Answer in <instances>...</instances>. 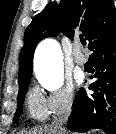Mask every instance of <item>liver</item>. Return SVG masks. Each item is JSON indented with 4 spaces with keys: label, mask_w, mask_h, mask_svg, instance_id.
Masks as SVG:
<instances>
[{
    "label": "liver",
    "mask_w": 116,
    "mask_h": 134,
    "mask_svg": "<svg viewBox=\"0 0 116 134\" xmlns=\"http://www.w3.org/2000/svg\"><path fill=\"white\" fill-rule=\"evenodd\" d=\"M22 134H57V133L55 132L53 127L46 126L44 128L35 129L33 131H29Z\"/></svg>",
    "instance_id": "1"
}]
</instances>
